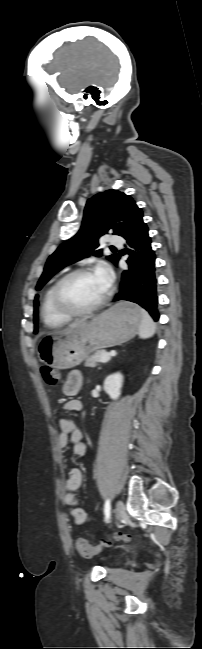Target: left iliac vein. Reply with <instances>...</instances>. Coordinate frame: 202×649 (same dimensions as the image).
I'll return each mask as SVG.
<instances>
[{"label": "left iliac vein", "instance_id": "left-iliac-vein-1", "mask_svg": "<svg viewBox=\"0 0 202 649\" xmlns=\"http://www.w3.org/2000/svg\"><path fill=\"white\" fill-rule=\"evenodd\" d=\"M125 506L122 501H117L115 508V519L120 521L125 516Z\"/></svg>", "mask_w": 202, "mask_h": 649}]
</instances>
